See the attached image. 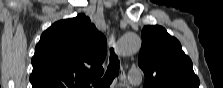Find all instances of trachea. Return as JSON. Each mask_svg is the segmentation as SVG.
<instances>
[{"instance_id":"1","label":"trachea","mask_w":223,"mask_h":88,"mask_svg":"<svg viewBox=\"0 0 223 88\" xmlns=\"http://www.w3.org/2000/svg\"><path fill=\"white\" fill-rule=\"evenodd\" d=\"M119 60L117 55L114 53L113 48H111V55H110V64L107 68V71L104 77L93 83V86L96 88H109L110 84L112 83L113 79L118 76L119 74Z\"/></svg>"}]
</instances>
